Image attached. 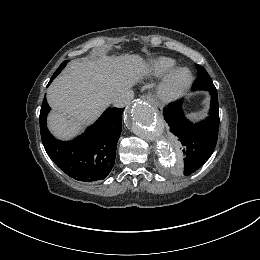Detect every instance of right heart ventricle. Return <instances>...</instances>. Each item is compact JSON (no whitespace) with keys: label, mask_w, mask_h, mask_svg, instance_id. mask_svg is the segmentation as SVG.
Segmentation results:
<instances>
[{"label":"right heart ventricle","mask_w":260,"mask_h":260,"mask_svg":"<svg viewBox=\"0 0 260 260\" xmlns=\"http://www.w3.org/2000/svg\"><path fill=\"white\" fill-rule=\"evenodd\" d=\"M176 65V60L173 58L160 56L152 59L148 64V71L154 76H160L167 73Z\"/></svg>","instance_id":"obj_1"}]
</instances>
